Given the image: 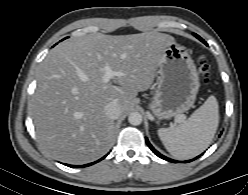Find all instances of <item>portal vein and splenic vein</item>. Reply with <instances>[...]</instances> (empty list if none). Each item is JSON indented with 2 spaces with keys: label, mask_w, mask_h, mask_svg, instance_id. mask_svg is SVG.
Returning <instances> with one entry per match:
<instances>
[{
  "label": "portal vein and splenic vein",
  "mask_w": 248,
  "mask_h": 195,
  "mask_svg": "<svg viewBox=\"0 0 248 195\" xmlns=\"http://www.w3.org/2000/svg\"><path fill=\"white\" fill-rule=\"evenodd\" d=\"M114 76H123V73L113 71L109 66H105L104 67L103 82L108 83Z\"/></svg>",
  "instance_id": "portal-vein-and-splenic-vein-1"
}]
</instances>
